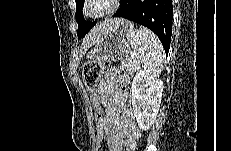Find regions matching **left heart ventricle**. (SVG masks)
<instances>
[{
    "label": "left heart ventricle",
    "mask_w": 231,
    "mask_h": 151,
    "mask_svg": "<svg viewBox=\"0 0 231 151\" xmlns=\"http://www.w3.org/2000/svg\"><path fill=\"white\" fill-rule=\"evenodd\" d=\"M99 3V2H98ZM102 7L101 6H95L94 8H93V10H100Z\"/></svg>",
    "instance_id": "b2bd125f"
}]
</instances>
